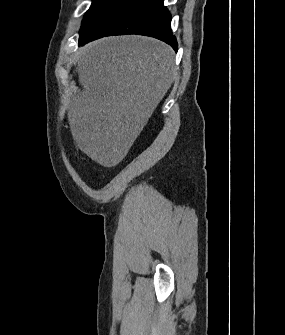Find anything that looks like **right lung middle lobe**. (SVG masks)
<instances>
[{
    "instance_id": "1",
    "label": "right lung middle lobe",
    "mask_w": 285,
    "mask_h": 335,
    "mask_svg": "<svg viewBox=\"0 0 285 335\" xmlns=\"http://www.w3.org/2000/svg\"><path fill=\"white\" fill-rule=\"evenodd\" d=\"M90 9L86 12L80 29L79 41L89 30L106 16L121 0H92Z\"/></svg>"
}]
</instances>
